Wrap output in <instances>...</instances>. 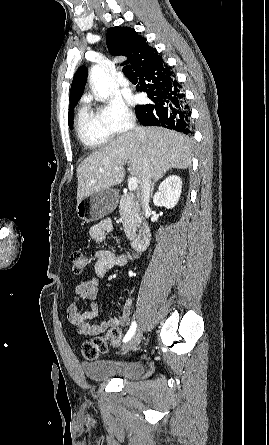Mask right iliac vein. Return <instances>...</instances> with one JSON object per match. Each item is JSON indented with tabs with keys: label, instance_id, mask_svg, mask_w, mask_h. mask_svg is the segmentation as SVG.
Wrapping results in <instances>:
<instances>
[{
	"label": "right iliac vein",
	"instance_id": "obj_1",
	"mask_svg": "<svg viewBox=\"0 0 269 445\" xmlns=\"http://www.w3.org/2000/svg\"><path fill=\"white\" fill-rule=\"evenodd\" d=\"M142 338V333L140 330H137V332L131 337V339L124 345L123 350L125 352L131 351L135 349Z\"/></svg>",
	"mask_w": 269,
	"mask_h": 445
}]
</instances>
